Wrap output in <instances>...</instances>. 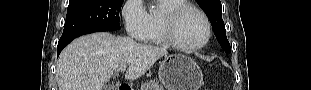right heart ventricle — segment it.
<instances>
[{
	"label": "right heart ventricle",
	"instance_id": "1",
	"mask_svg": "<svg viewBox=\"0 0 311 90\" xmlns=\"http://www.w3.org/2000/svg\"><path fill=\"white\" fill-rule=\"evenodd\" d=\"M187 4L183 0H160L159 10L148 13V30L143 41L156 45H166L163 37L161 19L165 12L180 5Z\"/></svg>",
	"mask_w": 311,
	"mask_h": 90
}]
</instances>
